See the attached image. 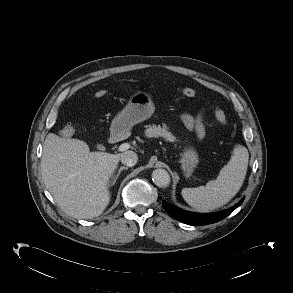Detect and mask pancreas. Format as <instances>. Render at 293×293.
<instances>
[{
    "instance_id": "obj_1",
    "label": "pancreas",
    "mask_w": 293,
    "mask_h": 293,
    "mask_svg": "<svg viewBox=\"0 0 293 293\" xmlns=\"http://www.w3.org/2000/svg\"><path fill=\"white\" fill-rule=\"evenodd\" d=\"M145 135L148 138L163 137L170 142L176 141V138L169 131H167L166 126L161 127L160 125H149L146 127Z\"/></svg>"
}]
</instances>
